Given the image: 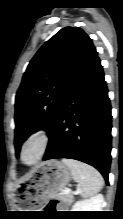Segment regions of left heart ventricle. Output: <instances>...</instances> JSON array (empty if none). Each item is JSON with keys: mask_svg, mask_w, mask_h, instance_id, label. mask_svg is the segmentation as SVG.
<instances>
[{"mask_svg": "<svg viewBox=\"0 0 123 219\" xmlns=\"http://www.w3.org/2000/svg\"><path fill=\"white\" fill-rule=\"evenodd\" d=\"M37 153H38L37 146L34 144L29 145L24 152V160L26 162L33 161L36 158Z\"/></svg>", "mask_w": 123, "mask_h": 219, "instance_id": "obj_1", "label": "left heart ventricle"}]
</instances>
